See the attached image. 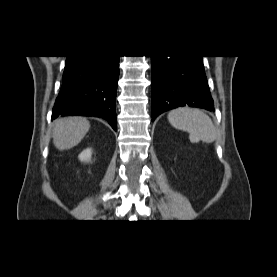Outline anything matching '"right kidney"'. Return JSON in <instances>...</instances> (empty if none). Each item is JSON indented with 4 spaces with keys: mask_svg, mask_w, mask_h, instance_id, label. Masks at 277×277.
<instances>
[{
    "mask_svg": "<svg viewBox=\"0 0 277 277\" xmlns=\"http://www.w3.org/2000/svg\"><path fill=\"white\" fill-rule=\"evenodd\" d=\"M92 150L90 148H87L81 152L79 155V160L82 162H89L91 159Z\"/></svg>",
    "mask_w": 277,
    "mask_h": 277,
    "instance_id": "1",
    "label": "right kidney"
}]
</instances>
